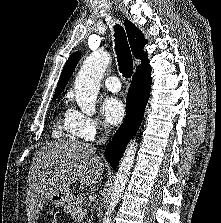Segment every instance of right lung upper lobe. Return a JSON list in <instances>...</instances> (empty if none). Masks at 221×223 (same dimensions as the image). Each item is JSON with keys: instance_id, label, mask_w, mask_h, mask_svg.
<instances>
[{"instance_id": "right-lung-upper-lobe-1", "label": "right lung upper lobe", "mask_w": 221, "mask_h": 223, "mask_svg": "<svg viewBox=\"0 0 221 223\" xmlns=\"http://www.w3.org/2000/svg\"><path fill=\"white\" fill-rule=\"evenodd\" d=\"M124 26L128 35V40L133 55L142 61L141 65L137 67L136 72L151 70L149 60L147 59V53H145L143 50L145 44L147 43L144 38V35L129 20H126L124 22ZM79 60L80 52H75L69 57L62 70L53 98H57V96L60 95L61 92L64 90Z\"/></svg>"}]
</instances>
